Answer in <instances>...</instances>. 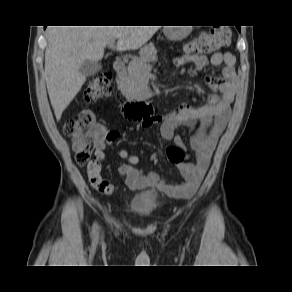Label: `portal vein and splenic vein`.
Returning a JSON list of instances; mask_svg holds the SVG:
<instances>
[{
    "mask_svg": "<svg viewBox=\"0 0 292 292\" xmlns=\"http://www.w3.org/2000/svg\"><path fill=\"white\" fill-rule=\"evenodd\" d=\"M113 46H114V42H110V43H109V47L112 48ZM151 68H152V66H146V67L144 68V70L147 71V70H150Z\"/></svg>",
    "mask_w": 292,
    "mask_h": 292,
    "instance_id": "obj_1",
    "label": "portal vein and splenic vein"
}]
</instances>
